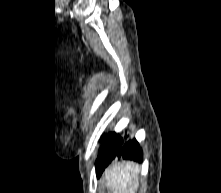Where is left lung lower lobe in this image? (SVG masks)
<instances>
[{"label": "left lung lower lobe", "mask_w": 221, "mask_h": 193, "mask_svg": "<svg viewBox=\"0 0 221 193\" xmlns=\"http://www.w3.org/2000/svg\"><path fill=\"white\" fill-rule=\"evenodd\" d=\"M102 139L103 143L95 163L98 176L103 173L104 169L115 158L129 159L137 162L142 160L143 151L135 138L110 132L103 135Z\"/></svg>", "instance_id": "left-lung-lower-lobe-1"}]
</instances>
